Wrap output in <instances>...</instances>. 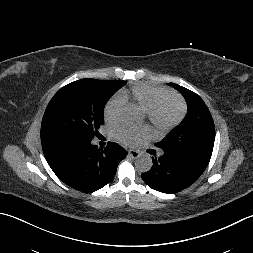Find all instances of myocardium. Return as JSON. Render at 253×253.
Returning a JSON list of instances; mask_svg holds the SVG:
<instances>
[{
    "label": "myocardium",
    "mask_w": 253,
    "mask_h": 253,
    "mask_svg": "<svg viewBox=\"0 0 253 253\" xmlns=\"http://www.w3.org/2000/svg\"><path fill=\"white\" fill-rule=\"evenodd\" d=\"M171 102L175 108L176 113L170 119H163L161 117V111L164 105ZM186 114V105L184 101L175 94H166L159 98L154 105L147 111V116L150 123L159 133H167L179 125L184 119Z\"/></svg>",
    "instance_id": "myocardium-1"
}]
</instances>
